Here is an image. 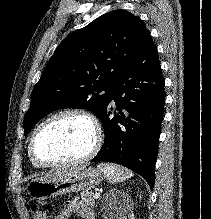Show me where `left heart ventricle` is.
Instances as JSON below:
<instances>
[{
    "instance_id": "1",
    "label": "left heart ventricle",
    "mask_w": 211,
    "mask_h": 219,
    "mask_svg": "<svg viewBox=\"0 0 211 219\" xmlns=\"http://www.w3.org/2000/svg\"><path fill=\"white\" fill-rule=\"evenodd\" d=\"M91 126L82 118L63 116L48 123L39 133L35 152L47 162L76 160L93 144Z\"/></svg>"
}]
</instances>
